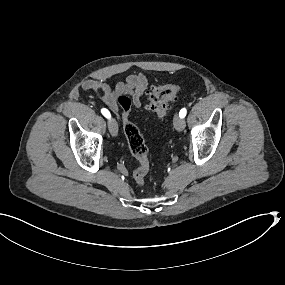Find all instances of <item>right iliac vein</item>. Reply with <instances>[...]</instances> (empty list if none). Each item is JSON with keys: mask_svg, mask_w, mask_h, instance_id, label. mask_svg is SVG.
<instances>
[{"mask_svg": "<svg viewBox=\"0 0 285 285\" xmlns=\"http://www.w3.org/2000/svg\"><path fill=\"white\" fill-rule=\"evenodd\" d=\"M108 127L112 136L118 135V124L115 119H111L108 121Z\"/></svg>", "mask_w": 285, "mask_h": 285, "instance_id": "obj_1", "label": "right iliac vein"}]
</instances>
